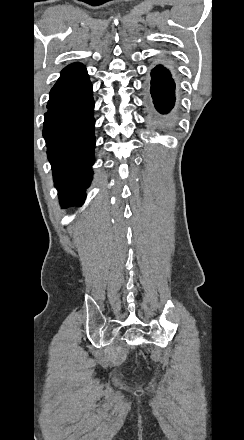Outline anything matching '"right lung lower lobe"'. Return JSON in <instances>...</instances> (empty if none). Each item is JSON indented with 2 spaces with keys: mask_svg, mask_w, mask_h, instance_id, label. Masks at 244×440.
Instances as JSON below:
<instances>
[{
  "mask_svg": "<svg viewBox=\"0 0 244 440\" xmlns=\"http://www.w3.org/2000/svg\"><path fill=\"white\" fill-rule=\"evenodd\" d=\"M43 136L63 206L82 205L94 163L92 84L79 63L67 66L50 92Z\"/></svg>",
  "mask_w": 244,
  "mask_h": 440,
  "instance_id": "obj_1",
  "label": "right lung lower lobe"
}]
</instances>
